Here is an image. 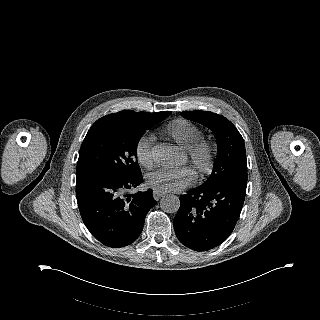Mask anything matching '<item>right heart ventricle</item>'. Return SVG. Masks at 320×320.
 Returning a JSON list of instances; mask_svg holds the SVG:
<instances>
[{"instance_id": "e07e8e85", "label": "right heart ventricle", "mask_w": 320, "mask_h": 320, "mask_svg": "<svg viewBox=\"0 0 320 320\" xmlns=\"http://www.w3.org/2000/svg\"><path fill=\"white\" fill-rule=\"evenodd\" d=\"M163 133L172 138L181 148L199 140L200 131L185 120H177L163 128Z\"/></svg>"}]
</instances>
